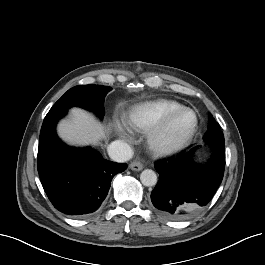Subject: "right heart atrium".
<instances>
[{"mask_svg":"<svg viewBox=\"0 0 265 265\" xmlns=\"http://www.w3.org/2000/svg\"><path fill=\"white\" fill-rule=\"evenodd\" d=\"M120 135L123 136L124 134L122 132H120Z\"/></svg>","mask_w":265,"mask_h":265,"instance_id":"d8ad5b80","label":"right heart atrium"}]
</instances>
